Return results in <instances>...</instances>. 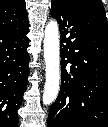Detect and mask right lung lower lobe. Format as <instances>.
Segmentation results:
<instances>
[{
  "label": "right lung lower lobe",
  "instance_id": "1",
  "mask_svg": "<svg viewBox=\"0 0 108 127\" xmlns=\"http://www.w3.org/2000/svg\"><path fill=\"white\" fill-rule=\"evenodd\" d=\"M29 23L0 31V126L17 127L29 74Z\"/></svg>",
  "mask_w": 108,
  "mask_h": 127
}]
</instances>
